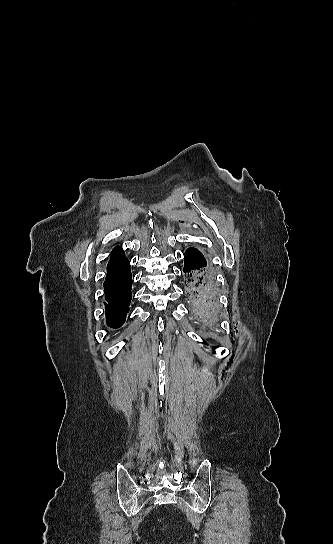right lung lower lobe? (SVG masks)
<instances>
[{
  "instance_id": "right-lung-lower-lobe-1",
  "label": "right lung lower lobe",
  "mask_w": 333,
  "mask_h": 544,
  "mask_svg": "<svg viewBox=\"0 0 333 544\" xmlns=\"http://www.w3.org/2000/svg\"><path fill=\"white\" fill-rule=\"evenodd\" d=\"M132 277L130 264L122 270L106 278L104 282L106 322L109 327L118 328L123 325L129 303L131 301Z\"/></svg>"
}]
</instances>
